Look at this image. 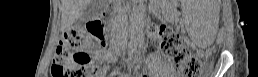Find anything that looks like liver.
<instances>
[{
	"label": "liver",
	"mask_w": 258,
	"mask_h": 77,
	"mask_svg": "<svg viewBox=\"0 0 258 77\" xmlns=\"http://www.w3.org/2000/svg\"><path fill=\"white\" fill-rule=\"evenodd\" d=\"M91 0H61L62 28H69L82 15L83 10Z\"/></svg>",
	"instance_id": "liver-1"
}]
</instances>
